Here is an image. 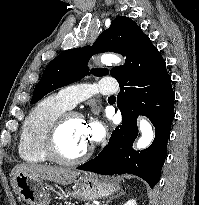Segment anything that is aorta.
I'll return each instance as SVG.
<instances>
[{"label":"aorta","instance_id":"762f6f07","mask_svg":"<svg viewBox=\"0 0 199 205\" xmlns=\"http://www.w3.org/2000/svg\"><path fill=\"white\" fill-rule=\"evenodd\" d=\"M101 62L107 66L112 64H119L121 59L114 54H103L101 56ZM139 129L141 131V137L137 141L136 148L141 150L147 148L154 139V132L152 125L146 119H140Z\"/></svg>","mask_w":199,"mask_h":205}]
</instances>
